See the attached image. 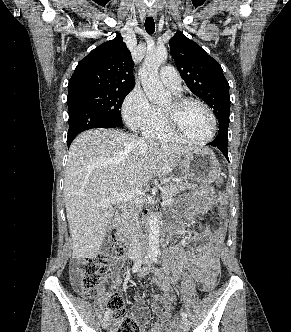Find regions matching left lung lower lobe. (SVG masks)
<instances>
[{
	"label": "left lung lower lobe",
	"mask_w": 291,
	"mask_h": 332,
	"mask_svg": "<svg viewBox=\"0 0 291 332\" xmlns=\"http://www.w3.org/2000/svg\"><path fill=\"white\" fill-rule=\"evenodd\" d=\"M228 131L224 129L223 126H219V132L215 140L208 145L217 147L219 150H221L225 157L228 159V151H227V141H228V136L227 133Z\"/></svg>",
	"instance_id": "1"
}]
</instances>
